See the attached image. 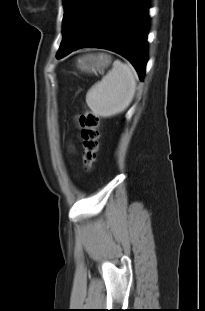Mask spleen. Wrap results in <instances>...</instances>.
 Returning a JSON list of instances; mask_svg holds the SVG:
<instances>
[{
	"instance_id": "obj_1",
	"label": "spleen",
	"mask_w": 205,
	"mask_h": 311,
	"mask_svg": "<svg viewBox=\"0 0 205 311\" xmlns=\"http://www.w3.org/2000/svg\"><path fill=\"white\" fill-rule=\"evenodd\" d=\"M136 78L132 65L115 60L112 70L87 92V105L96 116L104 118L122 113L134 98Z\"/></svg>"
}]
</instances>
